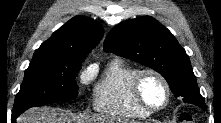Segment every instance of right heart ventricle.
Wrapping results in <instances>:
<instances>
[{"mask_svg":"<svg viewBox=\"0 0 221 123\" xmlns=\"http://www.w3.org/2000/svg\"><path fill=\"white\" fill-rule=\"evenodd\" d=\"M137 68L120 59L111 60L93 91L96 112L114 119H146L150 113L140 108L131 94V80Z\"/></svg>","mask_w":221,"mask_h":123,"instance_id":"right-heart-ventricle-1","label":"right heart ventricle"}]
</instances>
